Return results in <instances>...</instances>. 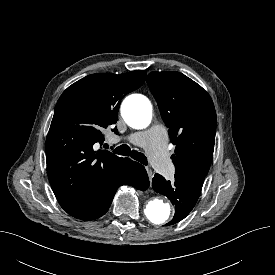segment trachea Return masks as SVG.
Instances as JSON below:
<instances>
[{
    "label": "trachea",
    "instance_id": "trachea-1",
    "mask_svg": "<svg viewBox=\"0 0 275 275\" xmlns=\"http://www.w3.org/2000/svg\"><path fill=\"white\" fill-rule=\"evenodd\" d=\"M113 152L115 154H118V155L130 156L134 160H137L140 163H142L143 165H147L148 164L147 158H146V156L143 153L135 151V150L131 151L130 147L128 145H126V144L118 146L117 148H115L113 150Z\"/></svg>",
    "mask_w": 275,
    "mask_h": 275
}]
</instances>
